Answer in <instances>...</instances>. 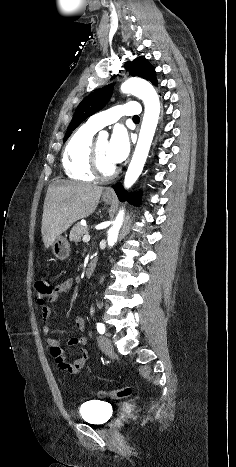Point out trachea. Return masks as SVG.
Wrapping results in <instances>:
<instances>
[{
  "label": "trachea",
  "mask_w": 236,
  "mask_h": 467,
  "mask_svg": "<svg viewBox=\"0 0 236 467\" xmlns=\"http://www.w3.org/2000/svg\"><path fill=\"white\" fill-rule=\"evenodd\" d=\"M133 121H140V118H139V116H137V115H136V116H134V117H133Z\"/></svg>",
  "instance_id": "trachea-1"
}]
</instances>
